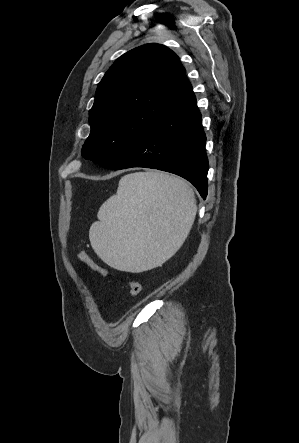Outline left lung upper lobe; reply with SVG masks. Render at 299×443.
Returning <instances> with one entry per match:
<instances>
[{"mask_svg": "<svg viewBox=\"0 0 299 443\" xmlns=\"http://www.w3.org/2000/svg\"><path fill=\"white\" fill-rule=\"evenodd\" d=\"M189 84L178 56L164 45L123 54L98 85L82 156L112 168Z\"/></svg>", "mask_w": 299, "mask_h": 443, "instance_id": "1", "label": "left lung upper lobe"}]
</instances>
